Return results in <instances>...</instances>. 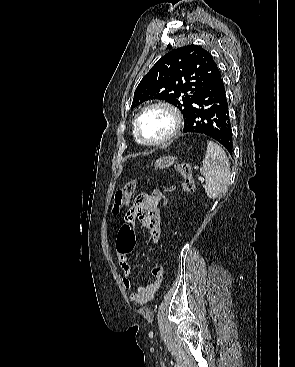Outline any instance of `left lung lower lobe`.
<instances>
[{"mask_svg": "<svg viewBox=\"0 0 295 367\" xmlns=\"http://www.w3.org/2000/svg\"><path fill=\"white\" fill-rule=\"evenodd\" d=\"M184 133L207 135L233 151L229 106L218 67L191 105L184 119Z\"/></svg>", "mask_w": 295, "mask_h": 367, "instance_id": "0a47b994", "label": "left lung lower lobe"}]
</instances>
